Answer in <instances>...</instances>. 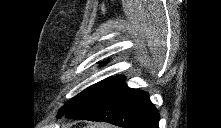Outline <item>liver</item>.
Listing matches in <instances>:
<instances>
[{"label": "liver", "instance_id": "6515ba94", "mask_svg": "<svg viewBox=\"0 0 221 128\" xmlns=\"http://www.w3.org/2000/svg\"><path fill=\"white\" fill-rule=\"evenodd\" d=\"M86 128H114V127L106 123H92L87 125Z\"/></svg>", "mask_w": 221, "mask_h": 128}]
</instances>
